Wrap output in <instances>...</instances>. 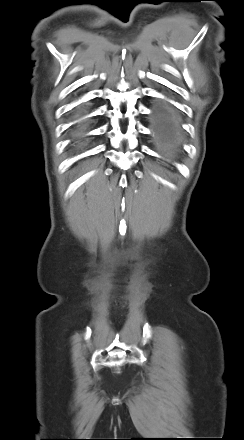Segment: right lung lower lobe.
<instances>
[{"instance_id":"right-lung-lower-lobe-1","label":"right lung lower lobe","mask_w":244,"mask_h":440,"mask_svg":"<svg viewBox=\"0 0 244 440\" xmlns=\"http://www.w3.org/2000/svg\"><path fill=\"white\" fill-rule=\"evenodd\" d=\"M83 131V126L80 124V126H78V128H76V130L73 132V137L75 138L76 142H81L84 139Z\"/></svg>"}]
</instances>
